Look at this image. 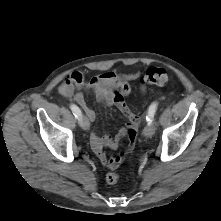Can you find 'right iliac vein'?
<instances>
[{
    "instance_id": "obj_1",
    "label": "right iliac vein",
    "mask_w": 221,
    "mask_h": 221,
    "mask_svg": "<svg viewBox=\"0 0 221 221\" xmlns=\"http://www.w3.org/2000/svg\"><path fill=\"white\" fill-rule=\"evenodd\" d=\"M79 123H80L81 127H82L84 130H89V128H90V123H89L88 118H87L85 115H82V116L79 118Z\"/></svg>"
}]
</instances>
